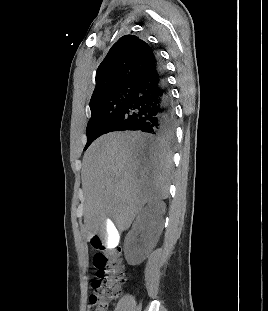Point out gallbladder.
<instances>
[{
    "mask_svg": "<svg viewBox=\"0 0 268 311\" xmlns=\"http://www.w3.org/2000/svg\"><path fill=\"white\" fill-rule=\"evenodd\" d=\"M106 221H103L101 226V244L105 246V249H114V246L118 244L120 234L117 227H112L109 218H106Z\"/></svg>",
    "mask_w": 268,
    "mask_h": 311,
    "instance_id": "1",
    "label": "gallbladder"
}]
</instances>
